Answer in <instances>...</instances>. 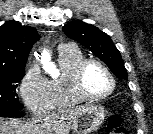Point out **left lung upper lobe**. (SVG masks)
I'll use <instances>...</instances> for the list:
<instances>
[{"label": "left lung upper lobe", "instance_id": "obj_1", "mask_svg": "<svg viewBox=\"0 0 153 134\" xmlns=\"http://www.w3.org/2000/svg\"><path fill=\"white\" fill-rule=\"evenodd\" d=\"M62 30L100 58L118 78L128 79L120 52L106 33L79 20L64 25Z\"/></svg>", "mask_w": 153, "mask_h": 134}]
</instances>
